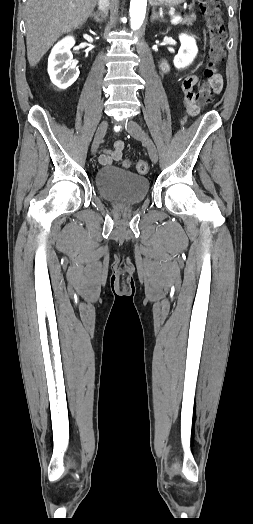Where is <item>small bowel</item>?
Listing matches in <instances>:
<instances>
[{"label": "small bowel", "instance_id": "c3829d8e", "mask_svg": "<svg viewBox=\"0 0 253 524\" xmlns=\"http://www.w3.org/2000/svg\"><path fill=\"white\" fill-rule=\"evenodd\" d=\"M160 69L166 75L172 74V69L169 63L165 60L160 62ZM198 79L192 75L188 78H183L180 82L181 85V96L184 100L186 115L189 118H199L203 112V105L197 101V90L193 87L197 83ZM210 85L216 93H220L223 89V78L220 74H215L210 79ZM186 118L184 123L189 125L191 120ZM124 142L122 140H116L113 143L112 149H106L99 156V162L102 165H110L115 161H118L122 157L124 149Z\"/></svg>", "mask_w": 253, "mask_h": 524}]
</instances>
